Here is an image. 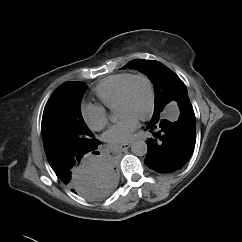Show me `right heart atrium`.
<instances>
[{
	"instance_id": "obj_1",
	"label": "right heart atrium",
	"mask_w": 242,
	"mask_h": 242,
	"mask_svg": "<svg viewBox=\"0 0 242 242\" xmlns=\"http://www.w3.org/2000/svg\"><path fill=\"white\" fill-rule=\"evenodd\" d=\"M79 112L83 122L93 131H99L107 124V111L102 105L84 102Z\"/></svg>"
}]
</instances>
